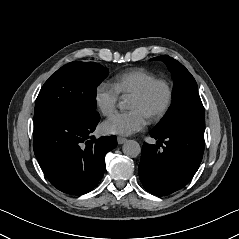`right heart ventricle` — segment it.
Here are the masks:
<instances>
[{"label":"right heart ventricle","instance_id":"e07e8e85","mask_svg":"<svg viewBox=\"0 0 239 239\" xmlns=\"http://www.w3.org/2000/svg\"><path fill=\"white\" fill-rule=\"evenodd\" d=\"M155 79L156 76L148 71L133 70L119 76L115 82V88L124 97L130 98Z\"/></svg>","mask_w":239,"mask_h":239}]
</instances>
